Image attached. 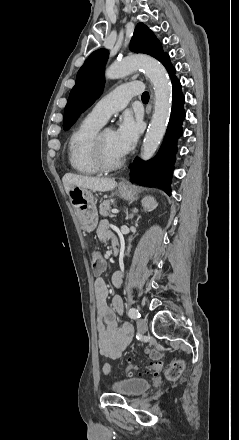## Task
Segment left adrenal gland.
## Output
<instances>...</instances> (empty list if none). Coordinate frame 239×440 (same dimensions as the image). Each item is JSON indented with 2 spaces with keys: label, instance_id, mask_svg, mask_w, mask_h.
<instances>
[{
  "label": "left adrenal gland",
  "instance_id": "1",
  "mask_svg": "<svg viewBox=\"0 0 239 440\" xmlns=\"http://www.w3.org/2000/svg\"><path fill=\"white\" fill-rule=\"evenodd\" d=\"M154 204V200H151L150 204H148V202H143L144 210H147V208H155ZM127 218H130L131 220V218H134V214H130Z\"/></svg>",
  "mask_w": 239,
  "mask_h": 440
}]
</instances>
